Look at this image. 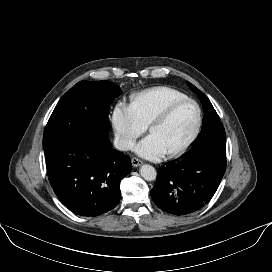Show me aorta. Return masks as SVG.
I'll list each match as a JSON object with an SVG mask.
<instances>
[{
	"label": "aorta",
	"mask_w": 272,
	"mask_h": 272,
	"mask_svg": "<svg viewBox=\"0 0 272 272\" xmlns=\"http://www.w3.org/2000/svg\"><path fill=\"white\" fill-rule=\"evenodd\" d=\"M140 174L146 181H153L156 179V170L151 165H142L140 168Z\"/></svg>",
	"instance_id": "obj_1"
}]
</instances>
